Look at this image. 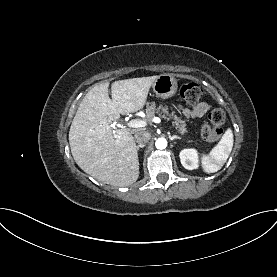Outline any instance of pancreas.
I'll use <instances>...</instances> for the list:
<instances>
[{
	"instance_id": "1",
	"label": "pancreas",
	"mask_w": 277,
	"mask_h": 277,
	"mask_svg": "<svg viewBox=\"0 0 277 277\" xmlns=\"http://www.w3.org/2000/svg\"><path fill=\"white\" fill-rule=\"evenodd\" d=\"M145 112L147 115V119L149 121H151L154 118L155 114H159V115H162V117L166 120H170L171 118H173L174 121L172 125L173 127H175V129L178 130L180 134H185L188 132L185 127V121L182 120L180 117L176 116L175 112H172L171 114H169L167 106L160 105L159 107H156L155 103H152L150 105L148 104L145 109Z\"/></svg>"
}]
</instances>
